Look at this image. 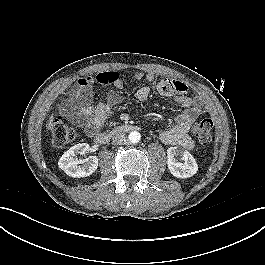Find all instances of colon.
<instances>
[{"label":"colon","mask_w":265,"mask_h":265,"mask_svg":"<svg viewBox=\"0 0 265 265\" xmlns=\"http://www.w3.org/2000/svg\"><path fill=\"white\" fill-rule=\"evenodd\" d=\"M112 79L113 74H101L97 76V79L102 80L103 78ZM213 128L212 120L206 116L201 115L192 127V133L202 145H207L211 141V131ZM78 135L76 130L69 126L63 119L58 117L54 121L52 129V141L56 147H63L65 145L76 142Z\"/></svg>","instance_id":"colon-1"}]
</instances>
